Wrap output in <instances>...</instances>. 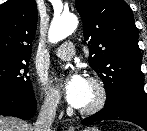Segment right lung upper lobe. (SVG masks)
Returning <instances> with one entry per match:
<instances>
[{
	"mask_svg": "<svg viewBox=\"0 0 147 131\" xmlns=\"http://www.w3.org/2000/svg\"><path fill=\"white\" fill-rule=\"evenodd\" d=\"M36 27L35 0H8L0 5V58L30 60Z\"/></svg>",
	"mask_w": 147,
	"mask_h": 131,
	"instance_id": "cb5924a9",
	"label": "right lung upper lobe"
}]
</instances>
